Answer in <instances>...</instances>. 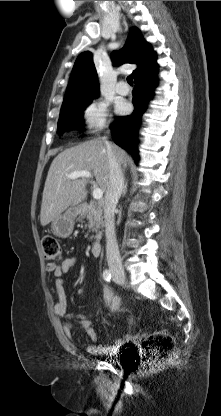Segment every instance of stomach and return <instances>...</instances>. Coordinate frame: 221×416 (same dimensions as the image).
<instances>
[{"label":"stomach","mask_w":221,"mask_h":416,"mask_svg":"<svg viewBox=\"0 0 221 416\" xmlns=\"http://www.w3.org/2000/svg\"><path fill=\"white\" fill-rule=\"evenodd\" d=\"M78 214L77 210L67 211L59 215L51 222V230L53 234L60 238H68L74 229L75 218Z\"/></svg>","instance_id":"obj_1"}]
</instances>
